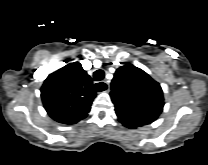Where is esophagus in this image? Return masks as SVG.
<instances>
[{"label": "esophagus", "instance_id": "esophagus-1", "mask_svg": "<svg viewBox=\"0 0 208 165\" xmlns=\"http://www.w3.org/2000/svg\"><path fill=\"white\" fill-rule=\"evenodd\" d=\"M96 84H100V85H102V86L106 87V89H105V91H106V92H108V91H109V89H110L109 83H108V82H106V81H103V82H98V83H96ZM96 84H95V85H96ZM95 85H94V86H95Z\"/></svg>", "mask_w": 208, "mask_h": 165}]
</instances>
